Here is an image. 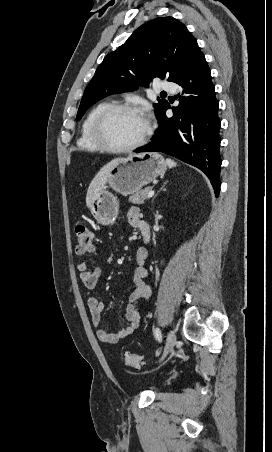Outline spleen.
<instances>
[{"mask_svg":"<svg viewBox=\"0 0 272 452\" xmlns=\"http://www.w3.org/2000/svg\"><path fill=\"white\" fill-rule=\"evenodd\" d=\"M166 163L169 166V168H173V167H175L177 165V163L174 160H171L169 158L166 159Z\"/></svg>","mask_w":272,"mask_h":452,"instance_id":"1","label":"spleen"}]
</instances>
